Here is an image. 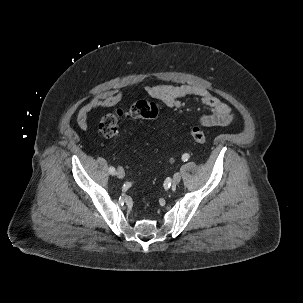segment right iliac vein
<instances>
[{
	"instance_id": "obj_1",
	"label": "right iliac vein",
	"mask_w": 303,
	"mask_h": 303,
	"mask_svg": "<svg viewBox=\"0 0 303 303\" xmlns=\"http://www.w3.org/2000/svg\"><path fill=\"white\" fill-rule=\"evenodd\" d=\"M116 175L120 179L124 178V176H125L124 169L122 167H118Z\"/></svg>"
}]
</instances>
